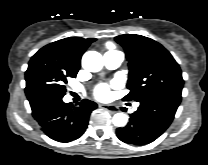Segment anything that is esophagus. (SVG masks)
<instances>
[{
  "instance_id": "1",
  "label": "esophagus",
  "mask_w": 208,
  "mask_h": 165,
  "mask_svg": "<svg viewBox=\"0 0 208 165\" xmlns=\"http://www.w3.org/2000/svg\"><path fill=\"white\" fill-rule=\"evenodd\" d=\"M99 106H100L101 108L107 110V111L110 112V113H115V112H117L116 108H115L114 106H112V105L100 104Z\"/></svg>"
}]
</instances>
